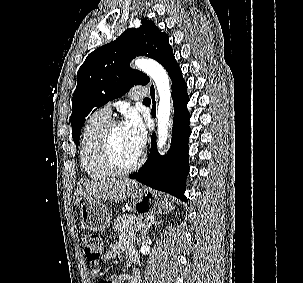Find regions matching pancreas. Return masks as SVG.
Listing matches in <instances>:
<instances>
[{
	"instance_id": "pancreas-1",
	"label": "pancreas",
	"mask_w": 303,
	"mask_h": 283,
	"mask_svg": "<svg viewBox=\"0 0 303 283\" xmlns=\"http://www.w3.org/2000/svg\"><path fill=\"white\" fill-rule=\"evenodd\" d=\"M143 216L126 214L119 216L114 223V229L121 235L133 233L142 229L140 225L143 223Z\"/></svg>"
}]
</instances>
